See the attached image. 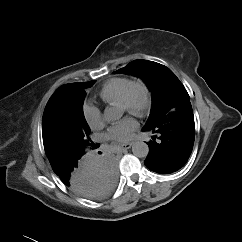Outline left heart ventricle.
<instances>
[{"instance_id": "b2bd125f", "label": "left heart ventricle", "mask_w": 242, "mask_h": 242, "mask_svg": "<svg viewBox=\"0 0 242 242\" xmlns=\"http://www.w3.org/2000/svg\"><path fill=\"white\" fill-rule=\"evenodd\" d=\"M133 98H134V101H135V102H137V103L140 102L141 99H142V92H141L140 90H136L135 93H134ZM120 107H121V110H122L123 112L126 111L125 107H123L122 105H121Z\"/></svg>"}]
</instances>
